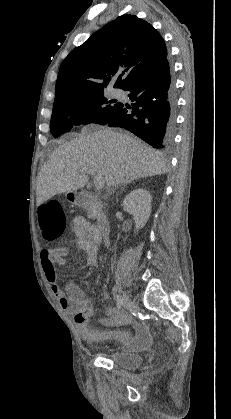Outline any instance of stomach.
<instances>
[{
	"instance_id": "1",
	"label": "stomach",
	"mask_w": 231,
	"mask_h": 419,
	"mask_svg": "<svg viewBox=\"0 0 231 419\" xmlns=\"http://www.w3.org/2000/svg\"><path fill=\"white\" fill-rule=\"evenodd\" d=\"M66 199L69 202H71L72 204H78L79 203V197L74 192L66 193Z\"/></svg>"
}]
</instances>
